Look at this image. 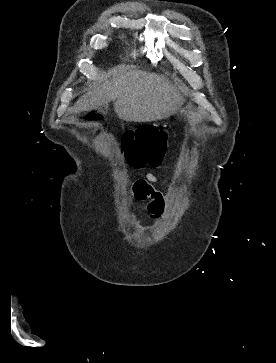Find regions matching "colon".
I'll list each match as a JSON object with an SVG mask.
<instances>
[{
  "instance_id": "obj_1",
  "label": "colon",
  "mask_w": 276,
  "mask_h": 363,
  "mask_svg": "<svg viewBox=\"0 0 276 363\" xmlns=\"http://www.w3.org/2000/svg\"><path fill=\"white\" fill-rule=\"evenodd\" d=\"M123 148L136 167L158 165L167 152V134L150 126L123 134Z\"/></svg>"
}]
</instances>
